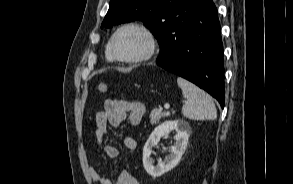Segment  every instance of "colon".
<instances>
[{
	"label": "colon",
	"instance_id": "5ec220e1",
	"mask_svg": "<svg viewBox=\"0 0 293 184\" xmlns=\"http://www.w3.org/2000/svg\"><path fill=\"white\" fill-rule=\"evenodd\" d=\"M97 91L101 94H105L108 92V86L105 83H99L97 85Z\"/></svg>",
	"mask_w": 293,
	"mask_h": 184
}]
</instances>
